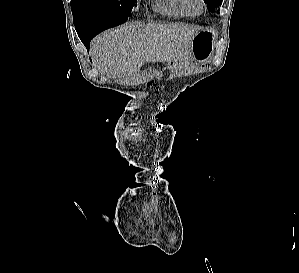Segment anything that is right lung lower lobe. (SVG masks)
Listing matches in <instances>:
<instances>
[{
    "label": "right lung lower lobe",
    "instance_id": "obj_1",
    "mask_svg": "<svg viewBox=\"0 0 299 273\" xmlns=\"http://www.w3.org/2000/svg\"><path fill=\"white\" fill-rule=\"evenodd\" d=\"M128 19V16L121 17L118 19H113L109 21H103V22H97V23H89L84 24L79 27H76L77 33L87 50L89 51V44L90 41L100 32L117 26L123 22H125Z\"/></svg>",
    "mask_w": 299,
    "mask_h": 273
}]
</instances>
